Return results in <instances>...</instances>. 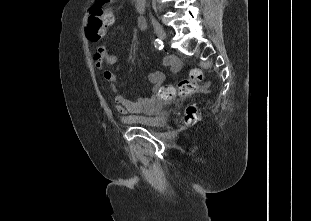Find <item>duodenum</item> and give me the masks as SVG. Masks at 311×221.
<instances>
[{
	"label": "duodenum",
	"instance_id": "obj_1",
	"mask_svg": "<svg viewBox=\"0 0 311 221\" xmlns=\"http://www.w3.org/2000/svg\"><path fill=\"white\" fill-rule=\"evenodd\" d=\"M146 3H147V0H134L135 9L138 11H142L145 8ZM138 25L139 27H142L143 23L140 22Z\"/></svg>",
	"mask_w": 311,
	"mask_h": 221
}]
</instances>
